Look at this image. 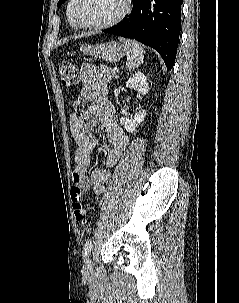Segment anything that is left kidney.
<instances>
[{"label": "left kidney", "instance_id": "1", "mask_svg": "<svg viewBox=\"0 0 239 303\" xmlns=\"http://www.w3.org/2000/svg\"><path fill=\"white\" fill-rule=\"evenodd\" d=\"M126 87L136 90L139 94L145 95L149 92V84L147 83V78L142 72H137L133 74L126 82ZM146 116V111L144 109L136 112L133 119H128L126 117L120 118V124L126 129L127 132L133 133L137 126L144 120Z\"/></svg>", "mask_w": 239, "mask_h": 303}]
</instances>
